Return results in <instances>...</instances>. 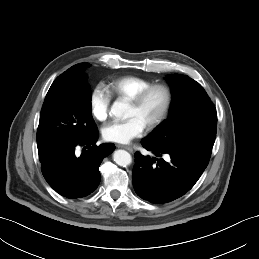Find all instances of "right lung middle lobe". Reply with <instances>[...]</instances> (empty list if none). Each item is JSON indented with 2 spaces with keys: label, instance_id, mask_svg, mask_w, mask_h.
I'll return each instance as SVG.
<instances>
[{
  "label": "right lung middle lobe",
  "instance_id": "right-lung-middle-lobe-1",
  "mask_svg": "<svg viewBox=\"0 0 259 259\" xmlns=\"http://www.w3.org/2000/svg\"><path fill=\"white\" fill-rule=\"evenodd\" d=\"M84 63L79 68V83L71 90L45 98L37 130L39 157L67 150L96 130L92 117L91 91Z\"/></svg>",
  "mask_w": 259,
  "mask_h": 259
}]
</instances>
